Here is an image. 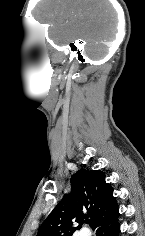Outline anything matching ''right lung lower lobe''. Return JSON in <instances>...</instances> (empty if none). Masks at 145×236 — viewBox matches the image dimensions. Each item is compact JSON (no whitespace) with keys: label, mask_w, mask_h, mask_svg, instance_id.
Here are the masks:
<instances>
[{"label":"right lung lower lobe","mask_w":145,"mask_h":236,"mask_svg":"<svg viewBox=\"0 0 145 236\" xmlns=\"http://www.w3.org/2000/svg\"><path fill=\"white\" fill-rule=\"evenodd\" d=\"M118 208L109 215L105 220L100 222L96 227V236H119L120 226L118 223Z\"/></svg>","instance_id":"1"}]
</instances>
